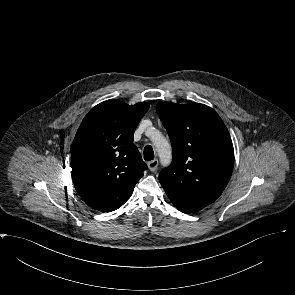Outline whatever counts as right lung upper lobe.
Here are the masks:
<instances>
[{
    "mask_svg": "<svg viewBox=\"0 0 295 295\" xmlns=\"http://www.w3.org/2000/svg\"><path fill=\"white\" fill-rule=\"evenodd\" d=\"M148 109L147 102L129 106L111 99L83 119L72 143L71 167L75 189L91 208L118 209L143 176L147 166L133 136Z\"/></svg>",
    "mask_w": 295,
    "mask_h": 295,
    "instance_id": "cb5924a9",
    "label": "right lung upper lobe"
}]
</instances>
